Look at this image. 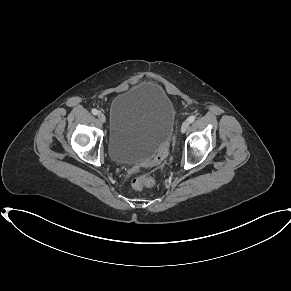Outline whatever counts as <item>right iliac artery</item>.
Returning <instances> with one entry per match:
<instances>
[{
    "mask_svg": "<svg viewBox=\"0 0 291 291\" xmlns=\"http://www.w3.org/2000/svg\"><path fill=\"white\" fill-rule=\"evenodd\" d=\"M92 114L97 115L98 114V110L97 109H92Z\"/></svg>",
    "mask_w": 291,
    "mask_h": 291,
    "instance_id": "82829eb1",
    "label": "right iliac artery"
}]
</instances>
